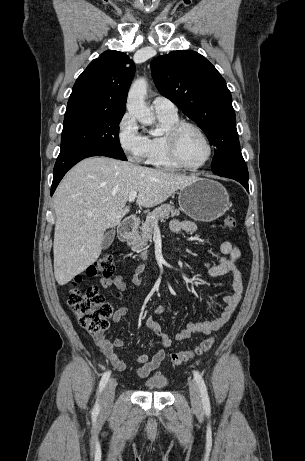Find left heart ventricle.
Returning a JSON list of instances; mask_svg holds the SVG:
<instances>
[{
    "mask_svg": "<svg viewBox=\"0 0 305 461\" xmlns=\"http://www.w3.org/2000/svg\"><path fill=\"white\" fill-rule=\"evenodd\" d=\"M179 153L185 163L194 166L205 159L207 147L196 131L187 128L180 136Z\"/></svg>",
    "mask_w": 305,
    "mask_h": 461,
    "instance_id": "left-heart-ventricle-1",
    "label": "left heart ventricle"
}]
</instances>
